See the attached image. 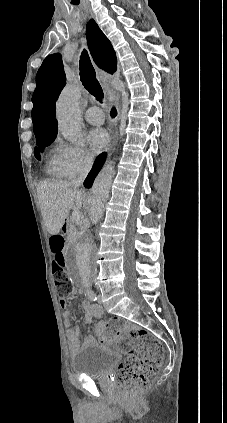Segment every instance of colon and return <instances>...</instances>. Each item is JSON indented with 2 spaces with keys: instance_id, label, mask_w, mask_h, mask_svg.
<instances>
[{
  "instance_id": "colon-1",
  "label": "colon",
  "mask_w": 227,
  "mask_h": 423,
  "mask_svg": "<svg viewBox=\"0 0 227 423\" xmlns=\"http://www.w3.org/2000/svg\"><path fill=\"white\" fill-rule=\"evenodd\" d=\"M51 252L54 256L52 270L58 292L70 294L73 290L64 266V239L55 235L50 239ZM111 323L116 327L121 350L127 358L119 365L116 373L122 390L130 396L145 392L153 383L163 359V350L159 340L144 328L124 325L117 320Z\"/></svg>"
}]
</instances>
